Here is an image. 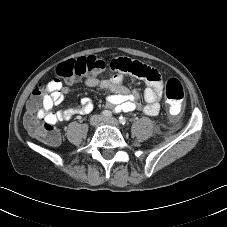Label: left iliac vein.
<instances>
[{
  "label": "left iliac vein",
  "instance_id": "1",
  "mask_svg": "<svg viewBox=\"0 0 227 227\" xmlns=\"http://www.w3.org/2000/svg\"><path fill=\"white\" fill-rule=\"evenodd\" d=\"M102 122L109 124V125H113V126L119 125V122L116 118H103Z\"/></svg>",
  "mask_w": 227,
  "mask_h": 227
}]
</instances>
